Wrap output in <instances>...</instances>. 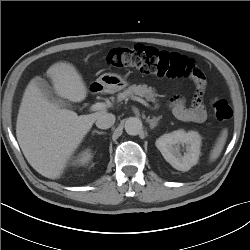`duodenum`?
<instances>
[{"mask_svg":"<svg viewBox=\"0 0 250 250\" xmlns=\"http://www.w3.org/2000/svg\"><path fill=\"white\" fill-rule=\"evenodd\" d=\"M98 89V87H96V86H93L92 88H91V90L94 92V91H96Z\"/></svg>","mask_w":250,"mask_h":250,"instance_id":"duodenum-1","label":"duodenum"}]
</instances>
